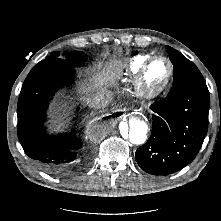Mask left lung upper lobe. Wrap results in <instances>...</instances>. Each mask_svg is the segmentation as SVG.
<instances>
[{
  "label": "left lung upper lobe",
  "instance_id": "1",
  "mask_svg": "<svg viewBox=\"0 0 221 221\" xmlns=\"http://www.w3.org/2000/svg\"><path fill=\"white\" fill-rule=\"evenodd\" d=\"M170 60L174 66V81L169 94L176 95L184 89L206 85V82L193 62L188 60L179 51L166 46Z\"/></svg>",
  "mask_w": 221,
  "mask_h": 221
}]
</instances>
